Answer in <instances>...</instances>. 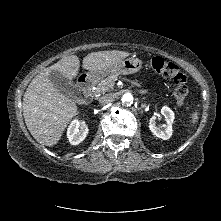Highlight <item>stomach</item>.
<instances>
[{
    "label": "stomach",
    "instance_id": "0dacf381",
    "mask_svg": "<svg viewBox=\"0 0 221 221\" xmlns=\"http://www.w3.org/2000/svg\"><path fill=\"white\" fill-rule=\"evenodd\" d=\"M142 66H143L142 60L138 58H128L120 61L111 68L101 71H90L89 74L94 79H100L106 74L128 75L140 71L142 69Z\"/></svg>",
    "mask_w": 221,
    "mask_h": 221
}]
</instances>
